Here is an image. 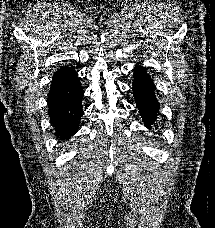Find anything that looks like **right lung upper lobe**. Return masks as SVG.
I'll use <instances>...</instances> for the list:
<instances>
[{"label":"right lung upper lobe","instance_id":"1","mask_svg":"<svg viewBox=\"0 0 215 228\" xmlns=\"http://www.w3.org/2000/svg\"><path fill=\"white\" fill-rule=\"evenodd\" d=\"M76 75V72L70 68V67H62L60 68L54 76H58V77H61V78H64V77H72V76H75ZM55 87L51 88L50 91L54 90Z\"/></svg>","mask_w":215,"mask_h":228}]
</instances>
